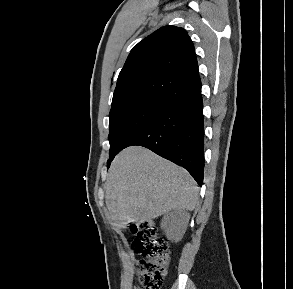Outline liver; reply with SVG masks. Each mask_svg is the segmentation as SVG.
Instances as JSON below:
<instances>
[{
    "label": "liver",
    "instance_id": "liver-1",
    "mask_svg": "<svg viewBox=\"0 0 293 289\" xmlns=\"http://www.w3.org/2000/svg\"><path fill=\"white\" fill-rule=\"evenodd\" d=\"M199 188L182 167L152 151L132 146L113 160L106 181V205L120 228L140 225L174 209L193 210Z\"/></svg>",
    "mask_w": 293,
    "mask_h": 289
}]
</instances>
